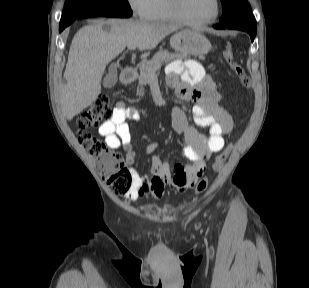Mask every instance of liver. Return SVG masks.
Wrapping results in <instances>:
<instances>
[{
	"mask_svg": "<svg viewBox=\"0 0 309 288\" xmlns=\"http://www.w3.org/2000/svg\"><path fill=\"white\" fill-rule=\"evenodd\" d=\"M176 26L135 20L109 19L82 27L74 36L64 72L66 84L60 105L68 120L90 106L101 93V80L109 62L126 47L154 49ZM144 53L142 57H146Z\"/></svg>",
	"mask_w": 309,
	"mask_h": 288,
	"instance_id": "6515ba94",
	"label": "liver"
}]
</instances>
